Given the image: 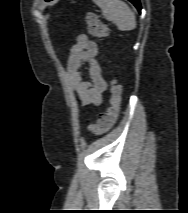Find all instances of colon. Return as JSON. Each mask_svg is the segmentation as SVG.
<instances>
[{
	"label": "colon",
	"mask_w": 188,
	"mask_h": 213,
	"mask_svg": "<svg viewBox=\"0 0 188 213\" xmlns=\"http://www.w3.org/2000/svg\"><path fill=\"white\" fill-rule=\"evenodd\" d=\"M85 21L92 36L98 39H104L107 36V29L96 14L88 12ZM122 93V87L117 84L115 79H112L110 81V107L99 115L96 123L89 127L92 132L103 133L114 125L121 111Z\"/></svg>",
	"instance_id": "5ec220e1"
}]
</instances>
